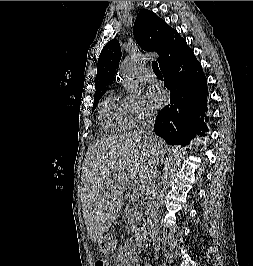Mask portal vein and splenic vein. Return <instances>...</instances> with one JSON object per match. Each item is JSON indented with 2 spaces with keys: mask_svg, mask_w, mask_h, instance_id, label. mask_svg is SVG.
Listing matches in <instances>:
<instances>
[{
  "mask_svg": "<svg viewBox=\"0 0 253 266\" xmlns=\"http://www.w3.org/2000/svg\"><path fill=\"white\" fill-rule=\"evenodd\" d=\"M132 192L135 194L138 192V189L136 187L133 188Z\"/></svg>",
  "mask_w": 253,
  "mask_h": 266,
  "instance_id": "1",
  "label": "portal vein and splenic vein"
}]
</instances>
